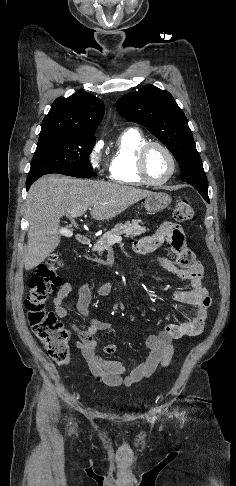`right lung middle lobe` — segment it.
I'll use <instances>...</instances> for the list:
<instances>
[{
  "instance_id": "1",
  "label": "right lung middle lobe",
  "mask_w": 236,
  "mask_h": 486,
  "mask_svg": "<svg viewBox=\"0 0 236 486\" xmlns=\"http://www.w3.org/2000/svg\"><path fill=\"white\" fill-rule=\"evenodd\" d=\"M94 144V136L56 131L40 132L27 179L51 173L91 177L93 170L89 154Z\"/></svg>"
}]
</instances>
